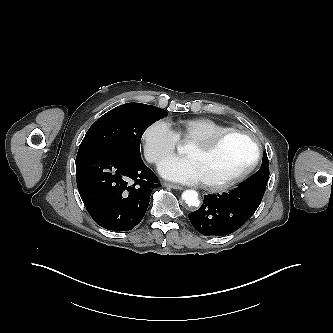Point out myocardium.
Wrapping results in <instances>:
<instances>
[{"mask_svg": "<svg viewBox=\"0 0 333 333\" xmlns=\"http://www.w3.org/2000/svg\"><path fill=\"white\" fill-rule=\"evenodd\" d=\"M230 136H241L246 138L253 149V155L251 158V161L248 163V165L242 169L239 173L235 174L234 176L221 181V182H204L202 181V185L204 188H206L209 191L213 192H221L225 191L232 186L238 184L239 182L243 181L257 166L259 159H260V147L256 140V138L242 130L238 129H229L227 131L221 132L219 134H216L214 136L208 137V138H202V139H196L190 142V144H193L197 147H199L203 151H211L215 149L218 145H220L226 138Z\"/></svg>", "mask_w": 333, "mask_h": 333, "instance_id": "obj_1", "label": "myocardium"}]
</instances>
